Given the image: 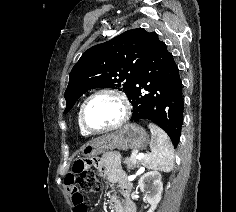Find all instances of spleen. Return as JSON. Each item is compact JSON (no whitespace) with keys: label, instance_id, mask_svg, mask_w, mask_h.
Returning <instances> with one entry per match:
<instances>
[{"label":"spleen","instance_id":"1","mask_svg":"<svg viewBox=\"0 0 236 212\" xmlns=\"http://www.w3.org/2000/svg\"><path fill=\"white\" fill-rule=\"evenodd\" d=\"M148 127L152 134L151 152L144 155L142 162L148 169L170 172L174 166V148L171 140L156 124L149 123Z\"/></svg>","mask_w":236,"mask_h":212}]
</instances>
